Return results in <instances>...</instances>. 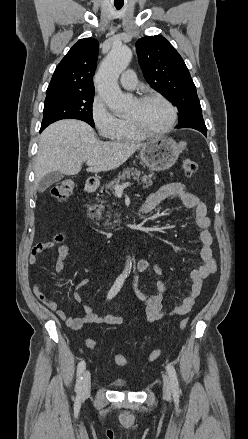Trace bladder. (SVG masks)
Segmentation results:
<instances>
[{"label":"bladder","mask_w":248,"mask_h":439,"mask_svg":"<svg viewBox=\"0 0 248 439\" xmlns=\"http://www.w3.org/2000/svg\"><path fill=\"white\" fill-rule=\"evenodd\" d=\"M113 384L115 386H119V387H126L127 386V383L123 382V381H114Z\"/></svg>","instance_id":"1"}]
</instances>
